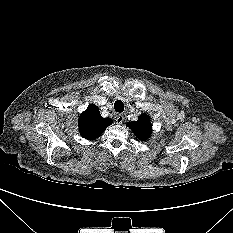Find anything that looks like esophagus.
I'll return each mask as SVG.
<instances>
[{
    "mask_svg": "<svg viewBox=\"0 0 233 233\" xmlns=\"http://www.w3.org/2000/svg\"><path fill=\"white\" fill-rule=\"evenodd\" d=\"M123 121H124V116H123V114H118V115L116 116V123H117V124H122Z\"/></svg>",
    "mask_w": 233,
    "mask_h": 233,
    "instance_id": "obj_1",
    "label": "esophagus"
}]
</instances>
